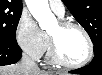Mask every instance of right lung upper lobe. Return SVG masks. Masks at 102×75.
<instances>
[{"mask_svg":"<svg viewBox=\"0 0 102 75\" xmlns=\"http://www.w3.org/2000/svg\"><path fill=\"white\" fill-rule=\"evenodd\" d=\"M0 4L22 7V0H0Z\"/></svg>","mask_w":102,"mask_h":75,"instance_id":"cb5924a9","label":"right lung upper lobe"}]
</instances>
